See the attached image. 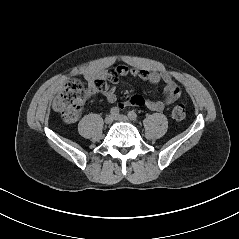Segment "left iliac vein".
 <instances>
[{"instance_id": "4c4485c4", "label": "left iliac vein", "mask_w": 239, "mask_h": 239, "mask_svg": "<svg viewBox=\"0 0 239 239\" xmlns=\"http://www.w3.org/2000/svg\"><path fill=\"white\" fill-rule=\"evenodd\" d=\"M114 119L118 120V121L131 122V120L127 116L121 115V114L120 115H116L114 117Z\"/></svg>"}]
</instances>
